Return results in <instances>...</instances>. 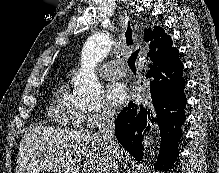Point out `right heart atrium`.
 I'll use <instances>...</instances> for the list:
<instances>
[{
    "mask_svg": "<svg viewBox=\"0 0 219 173\" xmlns=\"http://www.w3.org/2000/svg\"><path fill=\"white\" fill-rule=\"evenodd\" d=\"M115 116L114 110L107 105H100L92 111L84 112L83 122L86 127L95 128L103 123L110 122Z\"/></svg>",
    "mask_w": 219,
    "mask_h": 173,
    "instance_id": "1",
    "label": "right heart atrium"
}]
</instances>
